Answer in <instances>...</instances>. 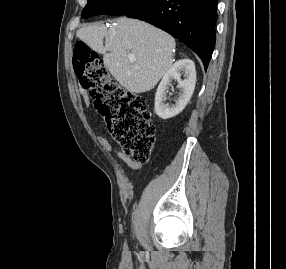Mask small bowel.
Returning <instances> with one entry per match:
<instances>
[{
    "label": "small bowel",
    "mask_w": 286,
    "mask_h": 269,
    "mask_svg": "<svg viewBox=\"0 0 286 269\" xmlns=\"http://www.w3.org/2000/svg\"><path fill=\"white\" fill-rule=\"evenodd\" d=\"M103 144L107 147H110L108 141L105 139H103ZM119 157L132 169L139 170L142 167L141 163L134 161L133 159L124 154L119 153Z\"/></svg>",
    "instance_id": "1"
}]
</instances>
